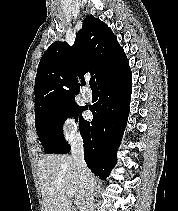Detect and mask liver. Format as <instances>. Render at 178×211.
Segmentation results:
<instances>
[{
	"instance_id": "1",
	"label": "liver",
	"mask_w": 178,
	"mask_h": 211,
	"mask_svg": "<svg viewBox=\"0 0 178 211\" xmlns=\"http://www.w3.org/2000/svg\"><path fill=\"white\" fill-rule=\"evenodd\" d=\"M38 171L45 211H75L68 192L73 194L80 209L84 186L72 156H45L38 161Z\"/></svg>"
}]
</instances>
